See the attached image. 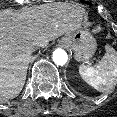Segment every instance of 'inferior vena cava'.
I'll return each mask as SVG.
<instances>
[{
    "mask_svg": "<svg viewBox=\"0 0 117 117\" xmlns=\"http://www.w3.org/2000/svg\"><path fill=\"white\" fill-rule=\"evenodd\" d=\"M38 48L36 47V46H31L30 48H29V53L31 54V55H36L37 53H38Z\"/></svg>",
    "mask_w": 117,
    "mask_h": 117,
    "instance_id": "inferior-vena-cava-1",
    "label": "inferior vena cava"
}]
</instances>
